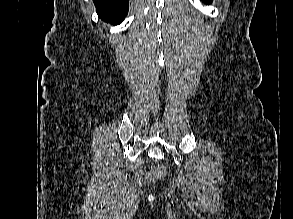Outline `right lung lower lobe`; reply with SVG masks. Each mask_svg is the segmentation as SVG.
Wrapping results in <instances>:
<instances>
[{
	"label": "right lung lower lobe",
	"mask_w": 293,
	"mask_h": 219,
	"mask_svg": "<svg viewBox=\"0 0 293 219\" xmlns=\"http://www.w3.org/2000/svg\"><path fill=\"white\" fill-rule=\"evenodd\" d=\"M129 0H94L98 16L106 21L119 24L127 14Z\"/></svg>",
	"instance_id": "right-lung-lower-lobe-1"
}]
</instances>
